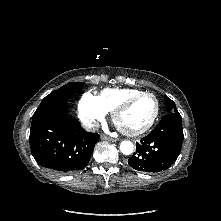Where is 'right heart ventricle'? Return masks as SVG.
<instances>
[{
  "label": "right heart ventricle",
  "mask_w": 221,
  "mask_h": 221,
  "mask_svg": "<svg viewBox=\"0 0 221 221\" xmlns=\"http://www.w3.org/2000/svg\"><path fill=\"white\" fill-rule=\"evenodd\" d=\"M141 92V90L131 88L105 89L97 98L102 108L108 113L112 112L125 99Z\"/></svg>",
  "instance_id": "right-heart-ventricle-1"
}]
</instances>
